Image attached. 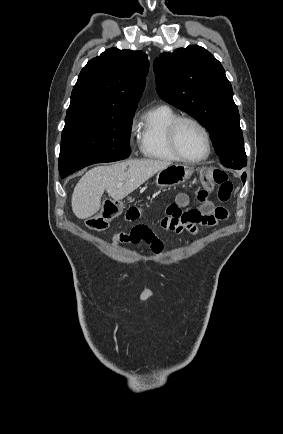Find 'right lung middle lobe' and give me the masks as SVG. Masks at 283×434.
Wrapping results in <instances>:
<instances>
[{"instance_id":"dd1d6c3e","label":"right lung middle lobe","mask_w":283,"mask_h":434,"mask_svg":"<svg viewBox=\"0 0 283 434\" xmlns=\"http://www.w3.org/2000/svg\"><path fill=\"white\" fill-rule=\"evenodd\" d=\"M133 117L134 114L66 119L60 146V176L64 178L94 163L127 158Z\"/></svg>"}]
</instances>
